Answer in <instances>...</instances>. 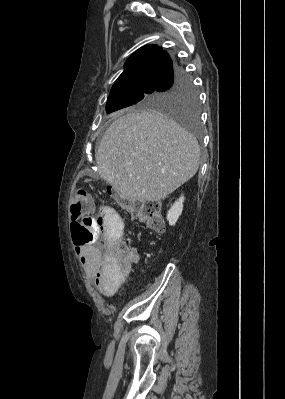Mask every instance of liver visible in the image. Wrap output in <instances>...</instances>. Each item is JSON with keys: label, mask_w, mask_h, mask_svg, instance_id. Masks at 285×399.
I'll return each instance as SVG.
<instances>
[{"label": "liver", "mask_w": 285, "mask_h": 399, "mask_svg": "<svg viewBox=\"0 0 285 399\" xmlns=\"http://www.w3.org/2000/svg\"><path fill=\"white\" fill-rule=\"evenodd\" d=\"M98 174L121 196L159 201L191 179L200 163L196 138L154 111L120 116L106 130L95 154Z\"/></svg>", "instance_id": "6515ba94"}]
</instances>
